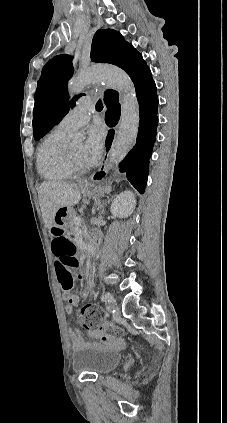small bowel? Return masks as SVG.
I'll return each instance as SVG.
<instances>
[{
    "label": "small bowel",
    "mask_w": 227,
    "mask_h": 423,
    "mask_svg": "<svg viewBox=\"0 0 227 423\" xmlns=\"http://www.w3.org/2000/svg\"><path fill=\"white\" fill-rule=\"evenodd\" d=\"M63 300L66 302V313L68 315H72L74 307L79 304V297L72 293H63ZM69 333L74 349L78 350L86 346V343L84 342L79 330H70ZM90 335L93 338L102 340L103 342L110 341L109 337L103 331L100 330L91 331Z\"/></svg>",
    "instance_id": "c3829d8e"
}]
</instances>
